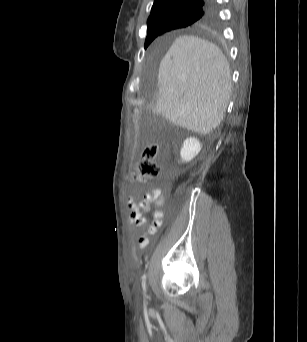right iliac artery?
<instances>
[{
	"mask_svg": "<svg viewBox=\"0 0 307 342\" xmlns=\"http://www.w3.org/2000/svg\"><path fill=\"white\" fill-rule=\"evenodd\" d=\"M142 287L145 292L146 291V275L143 276Z\"/></svg>",
	"mask_w": 307,
	"mask_h": 342,
	"instance_id": "obj_1",
	"label": "right iliac artery"
}]
</instances>
